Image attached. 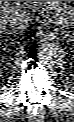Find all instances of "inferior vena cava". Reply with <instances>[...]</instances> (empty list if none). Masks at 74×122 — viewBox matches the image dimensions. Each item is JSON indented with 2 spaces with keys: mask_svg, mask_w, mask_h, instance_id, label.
<instances>
[{
  "mask_svg": "<svg viewBox=\"0 0 74 122\" xmlns=\"http://www.w3.org/2000/svg\"><path fill=\"white\" fill-rule=\"evenodd\" d=\"M29 21V16L23 12H17L8 19L9 24L22 33L28 27Z\"/></svg>",
  "mask_w": 74,
  "mask_h": 122,
  "instance_id": "inferior-vena-cava-1",
  "label": "inferior vena cava"
}]
</instances>
